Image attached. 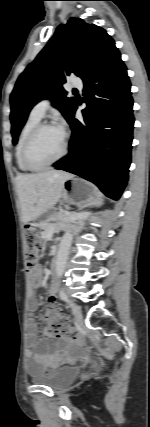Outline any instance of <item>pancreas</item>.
Here are the masks:
<instances>
[{
  "mask_svg": "<svg viewBox=\"0 0 150 427\" xmlns=\"http://www.w3.org/2000/svg\"><path fill=\"white\" fill-rule=\"evenodd\" d=\"M76 217L75 214L68 211H60L55 216L50 217L48 220L54 221L52 224L45 223L42 226V229L45 230L43 234L50 231H59L68 226V223L72 222Z\"/></svg>",
  "mask_w": 150,
  "mask_h": 427,
  "instance_id": "cf45deb5",
  "label": "pancreas"
}]
</instances>
